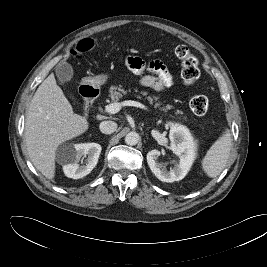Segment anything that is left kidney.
<instances>
[{"label": "left kidney", "mask_w": 267, "mask_h": 267, "mask_svg": "<svg viewBox=\"0 0 267 267\" xmlns=\"http://www.w3.org/2000/svg\"><path fill=\"white\" fill-rule=\"evenodd\" d=\"M170 146L169 149L179 157V161L173 168L167 170L166 166L158 162L161 154L154 149L147 153V163L152 173L162 182L171 183L182 180L190 170L194 158V146L192 137L186 127L179 124L169 123Z\"/></svg>", "instance_id": "5707ae66"}]
</instances>
